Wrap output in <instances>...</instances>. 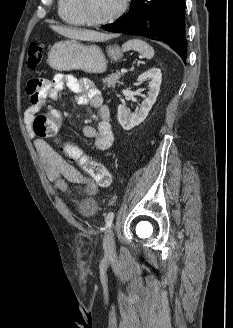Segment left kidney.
Instances as JSON below:
<instances>
[{"mask_svg":"<svg viewBox=\"0 0 233 328\" xmlns=\"http://www.w3.org/2000/svg\"><path fill=\"white\" fill-rule=\"evenodd\" d=\"M151 79L149 84L148 96L142 102L140 109L135 113H131L125 104L118 106V122L124 130H131L135 126L142 123L148 116L149 111L156 102V98L160 91V85L162 81V73L158 68H151L148 71L142 73L138 77V81H144Z\"/></svg>","mask_w":233,"mask_h":328,"instance_id":"1","label":"left kidney"}]
</instances>
